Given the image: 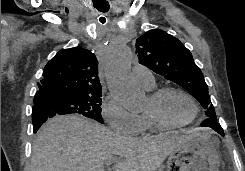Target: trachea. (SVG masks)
<instances>
[{"mask_svg": "<svg viewBox=\"0 0 245 171\" xmlns=\"http://www.w3.org/2000/svg\"><path fill=\"white\" fill-rule=\"evenodd\" d=\"M98 1L94 4V7L100 12H107L109 10V3L104 0H95ZM99 21L104 24L106 19L104 17H100Z\"/></svg>", "mask_w": 245, "mask_h": 171, "instance_id": "1", "label": "trachea"}]
</instances>
